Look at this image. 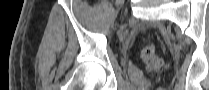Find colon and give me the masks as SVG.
Returning <instances> with one entry per match:
<instances>
[{"label": "colon", "instance_id": "5ec220e1", "mask_svg": "<svg viewBox=\"0 0 209 90\" xmlns=\"http://www.w3.org/2000/svg\"><path fill=\"white\" fill-rule=\"evenodd\" d=\"M141 59L149 71H160L164 66V61L157 55L156 47L152 44L142 48Z\"/></svg>", "mask_w": 209, "mask_h": 90}]
</instances>
